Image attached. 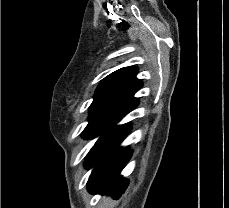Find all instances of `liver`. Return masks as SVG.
Returning a JSON list of instances; mask_svg holds the SVG:
<instances>
[{
    "label": "liver",
    "mask_w": 229,
    "mask_h": 208,
    "mask_svg": "<svg viewBox=\"0 0 229 208\" xmlns=\"http://www.w3.org/2000/svg\"><path fill=\"white\" fill-rule=\"evenodd\" d=\"M100 208H113V200L111 198H102V204H100Z\"/></svg>",
    "instance_id": "obj_1"
}]
</instances>
